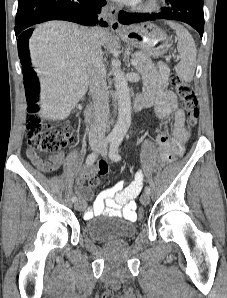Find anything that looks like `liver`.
<instances>
[{
  "label": "liver",
  "instance_id": "obj_1",
  "mask_svg": "<svg viewBox=\"0 0 227 298\" xmlns=\"http://www.w3.org/2000/svg\"><path fill=\"white\" fill-rule=\"evenodd\" d=\"M89 32L95 33L101 44L109 39L102 29L90 31L66 21H49L34 30L29 50L40 80L42 118L66 119L86 94L89 76L85 45Z\"/></svg>",
  "mask_w": 227,
  "mask_h": 298
}]
</instances>
